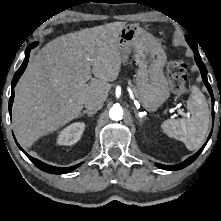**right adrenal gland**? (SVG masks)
Segmentation results:
<instances>
[{
  "instance_id": "right-adrenal-gland-1",
  "label": "right adrenal gland",
  "mask_w": 221,
  "mask_h": 221,
  "mask_svg": "<svg viewBox=\"0 0 221 221\" xmlns=\"http://www.w3.org/2000/svg\"><path fill=\"white\" fill-rule=\"evenodd\" d=\"M95 113H96V112H94V111L84 110L83 112H81V113L79 114V117L83 116L84 114H87L88 116H92V115H94Z\"/></svg>"
}]
</instances>
